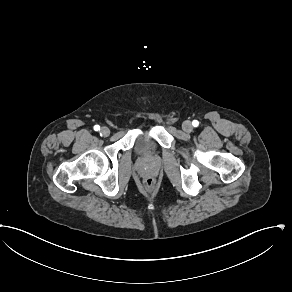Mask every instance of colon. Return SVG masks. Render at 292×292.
Listing matches in <instances>:
<instances>
[{
	"mask_svg": "<svg viewBox=\"0 0 292 292\" xmlns=\"http://www.w3.org/2000/svg\"><path fill=\"white\" fill-rule=\"evenodd\" d=\"M154 180L153 179H147L146 182H145V185L148 189H152L153 186H154Z\"/></svg>",
	"mask_w": 292,
	"mask_h": 292,
	"instance_id": "colon-1",
	"label": "colon"
}]
</instances>
